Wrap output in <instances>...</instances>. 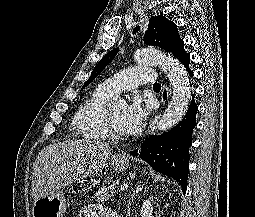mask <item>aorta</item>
I'll return each mask as SVG.
<instances>
[{"label":"aorta","mask_w":255,"mask_h":217,"mask_svg":"<svg viewBox=\"0 0 255 217\" xmlns=\"http://www.w3.org/2000/svg\"><path fill=\"white\" fill-rule=\"evenodd\" d=\"M134 58L140 64L160 66L170 80L173 88L172 99L162 118L156 123V128L165 132L175 126L187 110L191 97L188 74L176 59L158 50H137ZM124 104L125 101L122 99L113 102L114 106Z\"/></svg>","instance_id":"obj_1"}]
</instances>
